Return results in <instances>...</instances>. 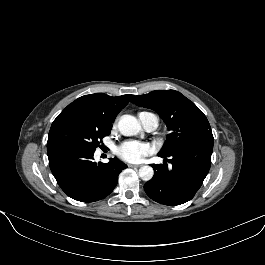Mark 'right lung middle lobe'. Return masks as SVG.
Listing matches in <instances>:
<instances>
[{
	"label": "right lung middle lobe",
	"mask_w": 265,
	"mask_h": 265,
	"mask_svg": "<svg viewBox=\"0 0 265 265\" xmlns=\"http://www.w3.org/2000/svg\"><path fill=\"white\" fill-rule=\"evenodd\" d=\"M112 127L77 119L66 118L52 124L47 147L58 144H70L95 151L102 139L110 134Z\"/></svg>",
	"instance_id": "dd1d6c3e"
}]
</instances>
